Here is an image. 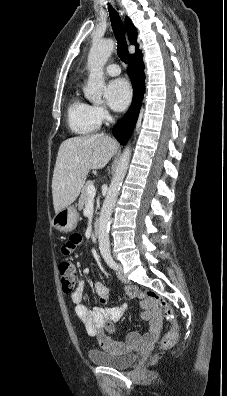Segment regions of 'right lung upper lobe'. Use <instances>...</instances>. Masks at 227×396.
I'll return each mask as SVG.
<instances>
[{
    "mask_svg": "<svg viewBox=\"0 0 227 396\" xmlns=\"http://www.w3.org/2000/svg\"><path fill=\"white\" fill-rule=\"evenodd\" d=\"M125 27L128 32L129 41L131 44L136 45V50L138 49L137 45V30L131 20L126 17L125 18Z\"/></svg>",
    "mask_w": 227,
    "mask_h": 396,
    "instance_id": "1",
    "label": "right lung upper lobe"
}]
</instances>
